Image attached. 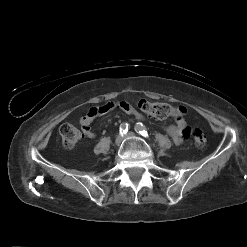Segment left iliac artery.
<instances>
[{"mask_svg": "<svg viewBox=\"0 0 247 247\" xmlns=\"http://www.w3.org/2000/svg\"><path fill=\"white\" fill-rule=\"evenodd\" d=\"M135 131H136L137 133L141 134V135L144 136V137H147V136H148L146 127H145L142 123H137V124L135 125Z\"/></svg>", "mask_w": 247, "mask_h": 247, "instance_id": "obj_1", "label": "left iliac artery"}]
</instances>
